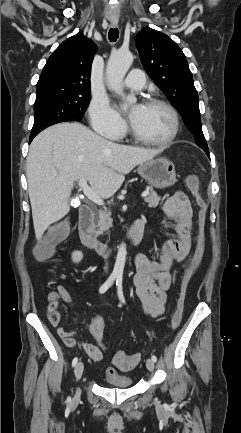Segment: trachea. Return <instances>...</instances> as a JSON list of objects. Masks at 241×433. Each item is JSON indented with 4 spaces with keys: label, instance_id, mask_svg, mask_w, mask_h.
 I'll return each mask as SVG.
<instances>
[{
    "label": "trachea",
    "instance_id": "obj_1",
    "mask_svg": "<svg viewBox=\"0 0 241 433\" xmlns=\"http://www.w3.org/2000/svg\"><path fill=\"white\" fill-rule=\"evenodd\" d=\"M119 37V30L117 28H111L108 33V38L111 42H115Z\"/></svg>",
    "mask_w": 241,
    "mask_h": 433
}]
</instances>
